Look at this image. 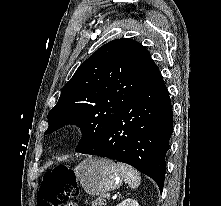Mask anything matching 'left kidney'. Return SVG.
Segmentation results:
<instances>
[{
    "instance_id": "left-kidney-1",
    "label": "left kidney",
    "mask_w": 221,
    "mask_h": 206,
    "mask_svg": "<svg viewBox=\"0 0 221 206\" xmlns=\"http://www.w3.org/2000/svg\"><path fill=\"white\" fill-rule=\"evenodd\" d=\"M117 206H139V204L136 200L128 198L123 200Z\"/></svg>"
}]
</instances>
